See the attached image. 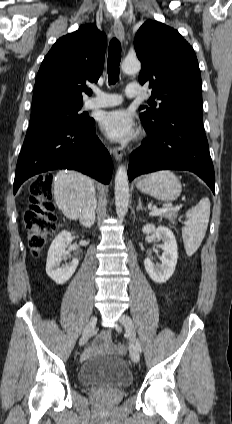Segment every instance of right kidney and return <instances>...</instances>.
Here are the masks:
<instances>
[{
  "instance_id": "1",
  "label": "right kidney",
  "mask_w": 232,
  "mask_h": 424,
  "mask_svg": "<svg viewBox=\"0 0 232 424\" xmlns=\"http://www.w3.org/2000/svg\"><path fill=\"white\" fill-rule=\"evenodd\" d=\"M73 240L72 233L63 231L53 240L47 255L46 273L57 284L66 283L74 274L79 261L73 259L70 264L60 266L66 247Z\"/></svg>"
}]
</instances>
